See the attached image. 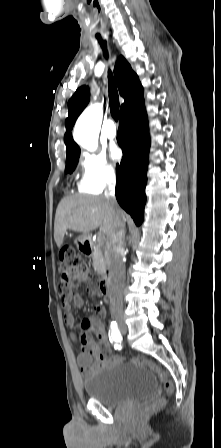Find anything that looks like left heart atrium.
Instances as JSON below:
<instances>
[{
	"label": "left heart atrium",
	"instance_id": "1",
	"mask_svg": "<svg viewBox=\"0 0 221 448\" xmlns=\"http://www.w3.org/2000/svg\"><path fill=\"white\" fill-rule=\"evenodd\" d=\"M111 155H112V157L113 158H119L120 156H121V151H120V149L119 148H117V147H114L112 150H111Z\"/></svg>",
	"mask_w": 221,
	"mask_h": 448
}]
</instances>
